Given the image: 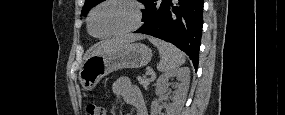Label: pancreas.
<instances>
[{
  "label": "pancreas",
  "mask_w": 285,
  "mask_h": 115,
  "mask_svg": "<svg viewBox=\"0 0 285 115\" xmlns=\"http://www.w3.org/2000/svg\"><path fill=\"white\" fill-rule=\"evenodd\" d=\"M137 80H138L139 84L141 86H143L144 88H147L148 85L150 84V82L152 81L151 78H147L146 76H142V77L138 76Z\"/></svg>",
  "instance_id": "cf45deb5"
}]
</instances>
